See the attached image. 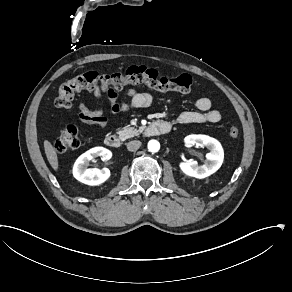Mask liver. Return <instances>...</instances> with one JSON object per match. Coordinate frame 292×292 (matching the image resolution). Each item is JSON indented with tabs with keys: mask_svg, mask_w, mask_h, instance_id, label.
Wrapping results in <instances>:
<instances>
[{
	"mask_svg": "<svg viewBox=\"0 0 292 292\" xmlns=\"http://www.w3.org/2000/svg\"><path fill=\"white\" fill-rule=\"evenodd\" d=\"M44 145V151L46 154V158L52 167V169L55 172L59 171V161H58V155L56 152L55 147L52 145V143L49 140H44L43 142Z\"/></svg>",
	"mask_w": 292,
	"mask_h": 292,
	"instance_id": "liver-1",
	"label": "liver"
}]
</instances>
